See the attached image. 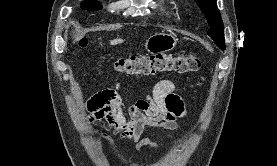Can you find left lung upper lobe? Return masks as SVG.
Returning <instances> with one entry per match:
<instances>
[{"mask_svg":"<svg viewBox=\"0 0 277 166\" xmlns=\"http://www.w3.org/2000/svg\"><path fill=\"white\" fill-rule=\"evenodd\" d=\"M204 13L211 26L208 35L214 40L219 48L225 50L224 29L220 12L217 8L216 0H194Z\"/></svg>","mask_w":277,"mask_h":166,"instance_id":"1","label":"left lung upper lobe"}]
</instances>
